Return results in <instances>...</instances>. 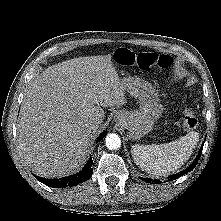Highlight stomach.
Wrapping results in <instances>:
<instances>
[{"mask_svg": "<svg viewBox=\"0 0 221 221\" xmlns=\"http://www.w3.org/2000/svg\"><path fill=\"white\" fill-rule=\"evenodd\" d=\"M121 83L125 91L139 99L140 107L134 111L118 112L116 119L121 127L127 129L129 138L137 140L153 129L163 112V106L156 89L147 81L126 74Z\"/></svg>", "mask_w": 221, "mask_h": 221, "instance_id": "stomach-1", "label": "stomach"}]
</instances>
